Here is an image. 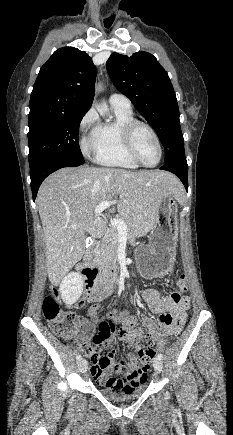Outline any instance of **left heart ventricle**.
<instances>
[{
    "instance_id": "obj_1",
    "label": "left heart ventricle",
    "mask_w": 233,
    "mask_h": 435,
    "mask_svg": "<svg viewBox=\"0 0 233 435\" xmlns=\"http://www.w3.org/2000/svg\"><path fill=\"white\" fill-rule=\"evenodd\" d=\"M134 143L141 160L148 165L155 164L159 159V151L151 134L139 127L134 134Z\"/></svg>"
}]
</instances>
